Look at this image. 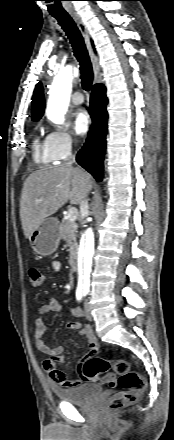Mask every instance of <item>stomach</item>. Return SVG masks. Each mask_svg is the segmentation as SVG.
<instances>
[{
    "mask_svg": "<svg viewBox=\"0 0 174 440\" xmlns=\"http://www.w3.org/2000/svg\"><path fill=\"white\" fill-rule=\"evenodd\" d=\"M60 224L56 218L47 217L29 237L35 253L47 256L54 253L60 242Z\"/></svg>",
    "mask_w": 174,
    "mask_h": 440,
    "instance_id": "1",
    "label": "stomach"
}]
</instances>
